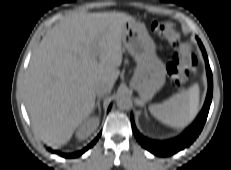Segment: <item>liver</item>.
I'll return each instance as SVG.
<instances>
[{"instance_id":"obj_1","label":"liver","mask_w":231,"mask_h":170,"mask_svg":"<svg viewBox=\"0 0 231 170\" xmlns=\"http://www.w3.org/2000/svg\"><path fill=\"white\" fill-rule=\"evenodd\" d=\"M132 21L127 14L87 13L81 8L49 30L23 81L37 138L57 149L88 119L95 85H113L120 73L123 27Z\"/></svg>"}]
</instances>
